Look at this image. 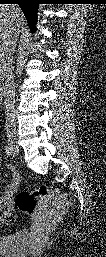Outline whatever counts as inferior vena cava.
Here are the masks:
<instances>
[{
    "instance_id": "1",
    "label": "inferior vena cava",
    "mask_w": 106,
    "mask_h": 257,
    "mask_svg": "<svg viewBox=\"0 0 106 257\" xmlns=\"http://www.w3.org/2000/svg\"><path fill=\"white\" fill-rule=\"evenodd\" d=\"M19 32L20 29L18 26H12L1 48L0 74L3 81V96L6 114L5 124L7 130H11L15 127V87L12 63Z\"/></svg>"
}]
</instances>
